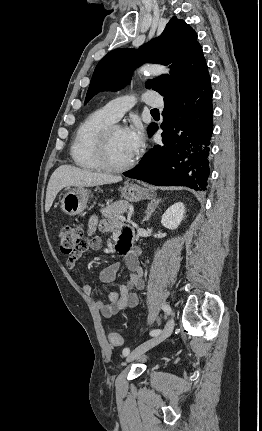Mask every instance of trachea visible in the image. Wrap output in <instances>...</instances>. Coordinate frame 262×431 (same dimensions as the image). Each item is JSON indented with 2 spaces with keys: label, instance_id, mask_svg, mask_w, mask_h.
<instances>
[{
  "label": "trachea",
  "instance_id": "trachea-1",
  "mask_svg": "<svg viewBox=\"0 0 262 431\" xmlns=\"http://www.w3.org/2000/svg\"><path fill=\"white\" fill-rule=\"evenodd\" d=\"M151 113H152V114H159V110H158V109H152V110H151Z\"/></svg>",
  "mask_w": 262,
  "mask_h": 431
}]
</instances>
